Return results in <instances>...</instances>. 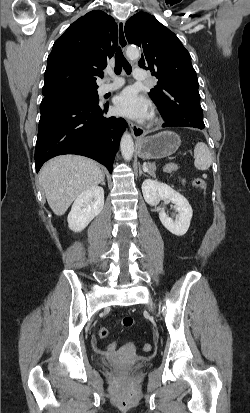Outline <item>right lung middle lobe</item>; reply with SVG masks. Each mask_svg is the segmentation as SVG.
Segmentation results:
<instances>
[{
    "instance_id": "right-lung-middle-lobe-1",
    "label": "right lung middle lobe",
    "mask_w": 250,
    "mask_h": 413,
    "mask_svg": "<svg viewBox=\"0 0 250 413\" xmlns=\"http://www.w3.org/2000/svg\"><path fill=\"white\" fill-rule=\"evenodd\" d=\"M82 98L98 101V93L95 88H68L51 92L45 95V99H69Z\"/></svg>"
}]
</instances>
